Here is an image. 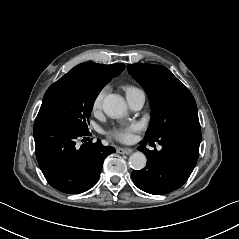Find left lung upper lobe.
<instances>
[{"label": "left lung upper lobe", "instance_id": "obj_1", "mask_svg": "<svg viewBox=\"0 0 239 239\" xmlns=\"http://www.w3.org/2000/svg\"><path fill=\"white\" fill-rule=\"evenodd\" d=\"M127 69L144 88L150 101L152 120L145 139L157 141L175 127L199 125L194 97L166 67L130 64Z\"/></svg>", "mask_w": 239, "mask_h": 239}]
</instances>
